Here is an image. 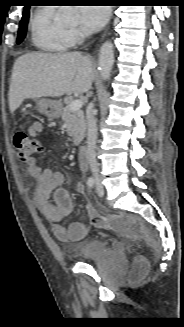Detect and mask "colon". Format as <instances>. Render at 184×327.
<instances>
[{"label":"colon","mask_w":184,"mask_h":327,"mask_svg":"<svg viewBox=\"0 0 184 327\" xmlns=\"http://www.w3.org/2000/svg\"><path fill=\"white\" fill-rule=\"evenodd\" d=\"M12 146L17 154L18 159L23 163L30 162L42 150L41 143L37 138L21 131L15 133L12 141ZM88 214L93 226L106 227L109 225V220L106 217L98 214L94 209L88 208ZM117 225L121 230L126 232H141L139 225L130 224L127 221H119ZM147 271V261L144 259L137 260L133 269L134 275L144 276Z\"/></svg>","instance_id":"obj_1"}]
</instances>
